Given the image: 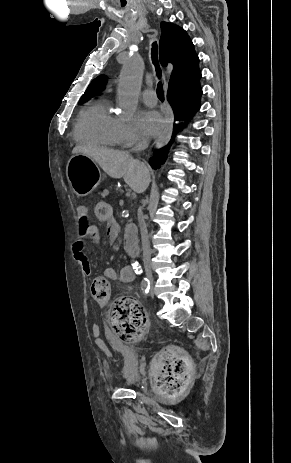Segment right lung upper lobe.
Instances as JSON below:
<instances>
[{
  "label": "right lung upper lobe",
  "instance_id": "cb5924a9",
  "mask_svg": "<svg viewBox=\"0 0 291 463\" xmlns=\"http://www.w3.org/2000/svg\"><path fill=\"white\" fill-rule=\"evenodd\" d=\"M162 35L159 42V56L162 66L173 64L169 88L185 87L200 72L199 58L194 45L182 28L170 23H161ZM107 82L105 76L94 79L81 97V102L101 91Z\"/></svg>",
  "mask_w": 291,
  "mask_h": 463
}]
</instances>
